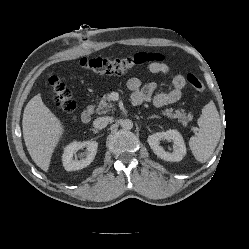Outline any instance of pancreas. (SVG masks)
Here are the masks:
<instances>
[{"label":"pancreas","mask_w":249,"mask_h":249,"mask_svg":"<svg viewBox=\"0 0 249 249\" xmlns=\"http://www.w3.org/2000/svg\"><path fill=\"white\" fill-rule=\"evenodd\" d=\"M111 110H114L113 104L110 102L109 98L104 95L96 108V112L98 114H106ZM162 114L171 119H178V122H181L183 125H186L193 119V115L190 113L187 115L183 109L174 111L173 108H170L163 111Z\"/></svg>","instance_id":"cf45deb5"}]
</instances>
